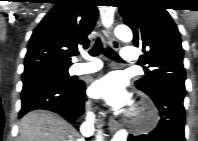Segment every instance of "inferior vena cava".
I'll use <instances>...</instances> for the list:
<instances>
[{"instance_id": "inferior-vena-cava-1", "label": "inferior vena cava", "mask_w": 198, "mask_h": 141, "mask_svg": "<svg viewBox=\"0 0 198 141\" xmlns=\"http://www.w3.org/2000/svg\"><path fill=\"white\" fill-rule=\"evenodd\" d=\"M93 120H94V115H89L88 123L93 125ZM93 131H94L93 127H89V129L86 131V134L87 135H92Z\"/></svg>"}]
</instances>
